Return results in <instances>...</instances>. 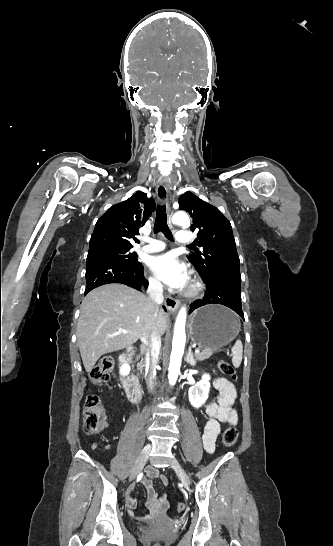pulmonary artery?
Here are the masks:
<instances>
[{"label": "pulmonary artery", "mask_w": 333, "mask_h": 546, "mask_svg": "<svg viewBox=\"0 0 333 546\" xmlns=\"http://www.w3.org/2000/svg\"><path fill=\"white\" fill-rule=\"evenodd\" d=\"M176 240L180 244H185V243L191 242L193 240V237L189 232L180 230L176 233ZM164 248H165V244L162 241L156 240V239H150L148 241V244L142 246L140 250L146 253H155V252L162 251Z\"/></svg>", "instance_id": "obj_1"}]
</instances>
